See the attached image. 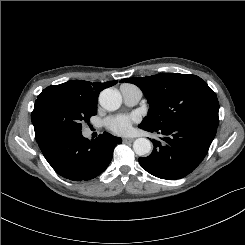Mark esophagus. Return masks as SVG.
<instances>
[{
	"label": "esophagus",
	"instance_id": "1",
	"mask_svg": "<svg viewBox=\"0 0 245 245\" xmlns=\"http://www.w3.org/2000/svg\"><path fill=\"white\" fill-rule=\"evenodd\" d=\"M133 140H134L133 138H127V137L122 139L124 143L132 142Z\"/></svg>",
	"mask_w": 245,
	"mask_h": 245
}]
</instances>
